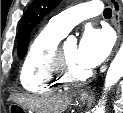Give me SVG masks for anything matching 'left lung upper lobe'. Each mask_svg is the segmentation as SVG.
I'll return each instance as SVG.
<instances>
[{
	"label": "left lung upper lobe",
	"mask_w": 123,
	"mask_h": 113,
	"mask_svg": "<svg viewBox=\"0 0 123 113\" xmlns=\"http://www.w3.org/2000/svg\"><path fill=\"white\" fill-rule=\"evenodd\" d=\"M62 0H33L25 11L19 26L18 56L22 59L27 52L29 36L34 27Z\"/></svg>",
	"instance_id": "obj_1"
}]
</instances>
